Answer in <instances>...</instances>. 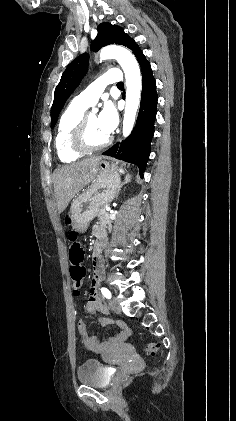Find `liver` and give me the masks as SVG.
Instances as JSON below:
<instances>
[{
  "instance_id": "liver-1",
  "label": "liver",
  "mask_w": 236,
  "mask_h": 421,
  "mask_svg": "<svg viewBox=\"0 0 236 421\" xmlns=\"http://www.w3.org/2000/svg\"><path fill=\"white\" fill-rule=\"evenodd\" d=\"M100 160L102 156H90L85 160L56 168L54 192L59 213H63L71 198L95 178Z\"/></svg>"
}]
</instances>
